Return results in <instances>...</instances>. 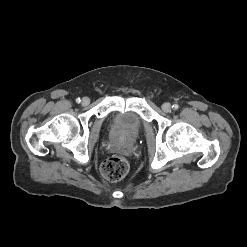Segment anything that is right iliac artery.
Returning a JSON list of instances; mask_svg holds the SVG:
<instances>
[{
  "instance_id": "82829eb1",
  "label": "right iliac artery",
  "mask_w": 247,
  "mask_h": 247,
  "mask_svg": "<svg viewBox=\"0 0 247 247\" xmlns=\"http://www.w3.org/2000/svg\"><path fill=\"white\" fill-rule=\"evenodd\" d=\"M76 102H77V103H80V102H81V99H80V98H77V99H76Z\"/></svg>"
}]
</instances>
